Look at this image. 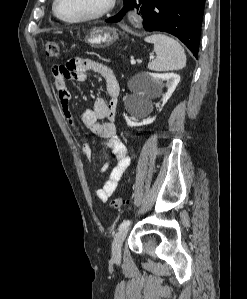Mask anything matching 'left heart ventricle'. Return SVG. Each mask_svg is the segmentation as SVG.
Instances as JSON below:
<instances>
[{
	"instance_id": "left-heart-ventricle-1",
	"label": "left heart ventricle",
	"mask_w": 247,
	"mask_h": 299,
	"mask_svg": "<svg viewBox=\"0 0 247 299\" xmlns=\"http://www.w3.org/2000/svg\"><path fill=\"white\" fill-rule=\"evenodd\" d=\"M105 0H59L58 14L66 19L82 17L97 11Z\"/></svg>"
}]
</instances>
